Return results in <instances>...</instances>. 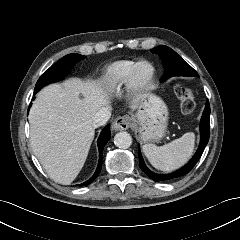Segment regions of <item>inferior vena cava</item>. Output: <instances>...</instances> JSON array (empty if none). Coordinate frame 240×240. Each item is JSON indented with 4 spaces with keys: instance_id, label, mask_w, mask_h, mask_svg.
Returning a JSON list of instances; mask_svg holds the SVG:
<instances>
[{
    "instance_id": "obj_1",
    "label": "inferior vena cava",
    "mask_w": 240,
    "mask_h": 240,
    "mask_svg": "<svg viewBox=\"0 0 240 240\" xmlns=\"http://www.w3.org/2000/svg\"><path fill=\"white\" fill-rule=\"evenodd\" d=\"M111 117V110L108 107H102L93 117V126L95 128L103 126Z\"/></svg>"
}]
</instances>
